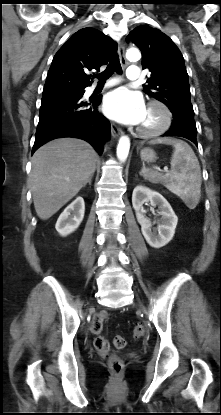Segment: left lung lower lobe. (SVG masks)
I'll use <instances>...</instances> for the list:
<instances>
[{"label": "left lung lower lobe", "mask_w": 221, "mask_h": 415, "mask_svg": "<svg viewBox=\"0 0 221 415\" xmlns=\"http://www.w3.org/2000/svg\"><path fill=\"white\" fill-rule=\"evenodd\" d=\"M196 133L194 111L179 110L173 113L172 126L163 136L184 137L198 146Z\"/></svg>", "instance_id": "left-lung-lower-lobe-1"}]
</instances>
